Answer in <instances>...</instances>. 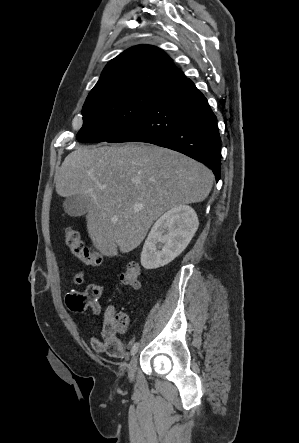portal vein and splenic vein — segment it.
Instances as JSON below:
<instances>
[{
  "label": "portal vein and splenic vein",
  "instance_id": "portal-vein-and-splenic-vein-1",
  "mask_svg": "<svg viewBox=\"0 0 299 443\" xmlns=\"http://www.w3.org/2000/svg\"><path fill=\"white\" fill-rule=\"evenodd\" d=\"M102 188V187H101ZM143 207V205L142 204H137V205H135V208H142Z\"/></svg>",
  "mask_w": 299,
  "mask_h": 443
}]
</instances>
